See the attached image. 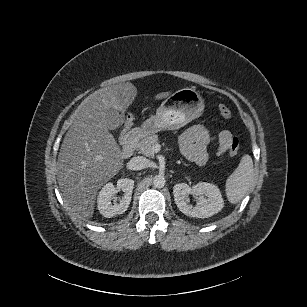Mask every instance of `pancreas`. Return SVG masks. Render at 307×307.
Listing matches in <instances>:
<instances>
[{
  "label": "pancreas",
  "instance_id": "1",
  "mask_svg": "<svg viewBox=\"0 0 307 307\" xmlns=\"http://www.w3.org/2000/svg\"><path fill=\"white\" fill-rule=\"evenodd\" d=\"M158 141H159L158 135L156 134L147 135L140 141L136 142L134 146L143 155L153 158L155 154L153 146L157 144Z\"/></svg>",
  "mask_w": 307,
  "mask_h": 307
}]
</instances>
